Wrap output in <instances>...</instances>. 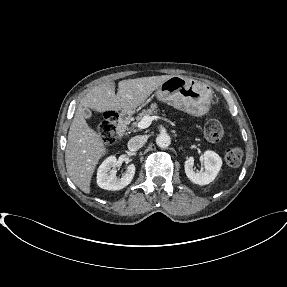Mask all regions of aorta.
Returning <instances> with one entry per match:
<instances>
[{
	"mask_svg": "<svg viewBox=\"0 0 287 287\" xmlns=\"http://www.w3.org/2000/svg\"><path fill=\"white\" fill-rule=\"evenodd\" d=\"M156 144L160 148H167L171 144V138L167 133H160L156 137Z\"/></svg>",
	"mask_w": 287,
	"mask_h": 287,
	"instance_id": "aorta-1",
	"label": "aorta"
}]
</instances>
